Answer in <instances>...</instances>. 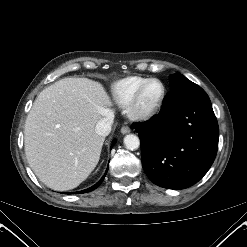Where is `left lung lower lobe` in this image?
I'll list each match as a JSON object with an SVG mask.
<instances>
[{
  "label": "left lung lower lobe",
  "instance_id": "1",
  "mask_svg": "<svg viewBox=\"0 0 247 247\" xmlns=\"http://www.w3.org/2000/svg\"><path fill=\"white\" fill-rule=\"evenodd\" d=\"M133 126L139 133L143 169L158 186L190 187L216 157L218 123L208 95L198 85L171 90L158 115Z\"/></svg>",
  "mask_w": 247,
  "mask_h": 247
}]
</instances>
